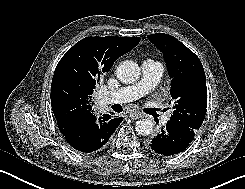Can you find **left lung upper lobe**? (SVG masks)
I'll use <instances>...</instances> for the list:
<instances>
[{
  "label": "left lung upper lobe",
  "mask_w": 245,
  "mask_h": 189,
  "mask_svg": "<svg viewBox=\"0 0 245 189\" xmlns=\"http://www.w3.org/2000/svg\"><path fill=\"white\" fill-rule=\"evenodd\" d=\"M148 39L163 53L172 78L170 93L174 111L168 123L195 132L203 123L207 107L206 77L201 61L171 35L156 33L148 35Z\"/></svg>",
  "instance_id": "left-lung-upper-lobe-1"
}]
</instances>
